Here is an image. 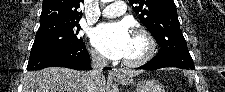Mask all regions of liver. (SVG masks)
Wrapping results in <instances>:
<instances>
[{
  "label": "liver",
  "instance_id": "6515ba94",
  "mask_svg": "<svg viewBox=\"0 0 225 92\" xmlns=\"http://www.w3.org/2000/svg\"><path fill=\"white\" fill-rule=\"evenodd\" d=\"M142 71L128 70L129 77L137 76ZM89 72L67 68L51 67L41 71L29 72L24 76L23 92H92L88 84ZM106 80L100 76L95 92H105Z\"/></svg>",
  "mask_w": 225,
  "mask_h": 92
}]
</instances>
